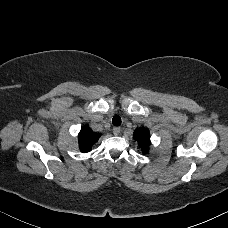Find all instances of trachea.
<instances>
[{
    "mask_svg": "<svg viewBox=\"0 0 228 228\" xmlns=\"http://www.w3.org/2000/svg\"><path fill=\"white\" fill-rule=\"evenodd\" d=\"M121 123H122V120H121L120 116H119V115H115V116L113 117V119H112V124H113L114 126H120Z\"/></svg>",
    "mask_w": 228,
    "mask_h": 228,
    "instance_id": "3493384b",
    "label": "trachea"
}]
</instances>
